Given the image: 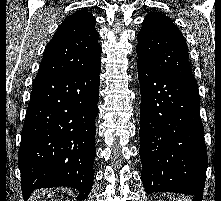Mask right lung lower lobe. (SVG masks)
<instances>
[{
    "label": "right lung lower lobe",
    "mask_w": 221,
    "mask_h": 201,
    "mask_svg": "<svg viewBox=\"0 0 221 201\" xmlns=\"http://www.w3.org/2000/svg\"><path fill=\"white\" fill-rule=\"evenodd\" d=\"M100 69L35 77L18 154L24 201L35 189L46 187L76 188L79 200L88 196Z\"/></svg>",
    "instance_id": "obj_1"
}]
</instances>
